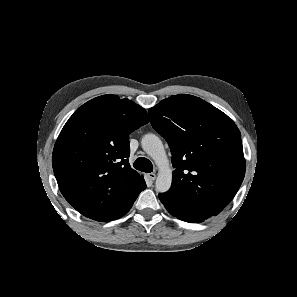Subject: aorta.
Returning a JSON list of instances; mask_svg holds the SVG:
<instances>
[{
	"mask_svg": "<svg viewBox=\"0 0 297 297\" xmlns=\"http://www.w3.org/2000/svg\"><path fill=\"white\" fill-rule=\"evenodd\" d=\"M141 146L159 168L155 182L156 191L160 193L167 192L172 183V170L169 167L162 141L155 134H146L141 139Z\"/></svg>",
	"mask_w": 297,
	"mask_h": 297,
	"instance_id": "1",
	"label": "aorta"
}]
</instances>
